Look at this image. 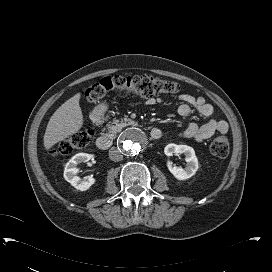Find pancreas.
<instances>
[{
	"label": "pancreas",
	"instance_id": "pancreas-1",
	"mask_svg": "<svg viewBox=\"0 0 272 272\" xmlns=\"http://www.w3.org/2000/svg\"><path fill=\"white\" fill-rule=\"evenodd\" d=\"M114 125L108 126V134L110 137L114 138L118 132L122 130L123 127L133 124V121L129 118H124L121 120H115Z\"/></svg>",
	"mask_w": 272,
	"mask_h": 272
}]
</instances>
